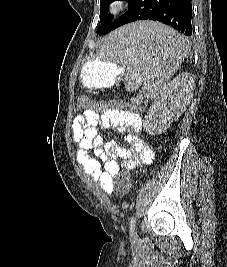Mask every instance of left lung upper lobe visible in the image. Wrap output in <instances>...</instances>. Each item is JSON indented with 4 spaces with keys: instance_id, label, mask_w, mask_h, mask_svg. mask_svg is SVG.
Masks as SVG:
<instances>
[{
    "instance_id": "left-lung-upper-lobe-1",
    "label": "left lung upper lobe",
    "mask_w": 227,
    "mask_h": 267,
    "mask_svg": "<svg viewBox=\"0 0 227 267\" xmlns=\"http://www.w3.org/2000/svg\"><path fill=\"white\" fill-rule=\"evenodd\" d=\"M113 1L115 0H100V21H101V24H103L104 26L110 23L113 19V16L108 14V6ZM126 1L128 2L129 0H126Z\"/></svg>"
}]
</instances>
